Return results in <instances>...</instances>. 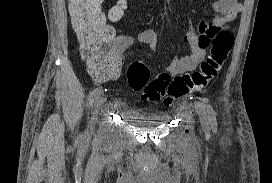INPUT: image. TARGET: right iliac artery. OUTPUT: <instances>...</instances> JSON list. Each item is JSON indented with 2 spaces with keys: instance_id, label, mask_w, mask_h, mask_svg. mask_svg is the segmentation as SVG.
<instances>
[{
  "instance_id": "1",
  "label": "right iliac artery",
  "mask_w": 272,
  "mask_h": 183,
  "mask_svg": "<svg viewBox=\"0 0 272 183\" xmlns=\"http://www.w3.org/2000/svg\"><path fill=\"white\" fill-rule=\"evenodd\" d=\"M103 93L102 88H95L89 95V106H92L96 98Z\"/></svg>"
}]
</instances>
